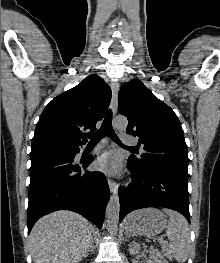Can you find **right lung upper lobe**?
I'll use <instances>...</instances> for the list:
<instances>
[{"label": "right lung upper lobe", "mask_w": 220, "mask_h": 263, "mask_svg": "<svg viewBox=\"0 0 220 263\" xmlns=\"http://www.w3.org/2000/svg\"><path fill=\"white\" fill-rule=\"evenodd\" d=\"M111 100V89L92 74L74 88L55 97L37 123L32 151L76 148L87 142L85 130H96Z\"/></svg>", "instance_id": "1"}]
</instances>
